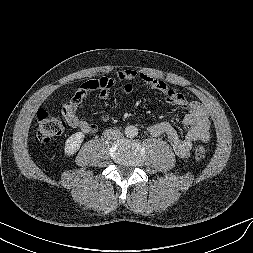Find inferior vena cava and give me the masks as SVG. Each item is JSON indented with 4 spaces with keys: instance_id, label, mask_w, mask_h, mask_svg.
<instances>
[{
    "instance_id": "inferior-vena-cava-1",
    "label": "inferior vena cava",
    "mask_w": 253,
    "mask_h": 253,
    "mask_svg": "<svg viewBox=\"0 0 253 253\" xmlns=\"http://www.w3.org/2000/svg\"><path fill=\"white\" fill-rule=\"evenodd\" d=\"M104 137L108 140H118L122 137L119 129H108L104 131Z\"/></svg>"
}]
</instances>
